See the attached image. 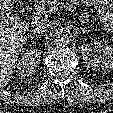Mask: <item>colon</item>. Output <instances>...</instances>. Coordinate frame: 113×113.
Segmentation results:
<instances>
[{"label":"colon","instance_id":"colon-1","mask_svg":"<svg viewBox=\"0 0 113 113\" xmlns=\"http://www.w3.org/2000/svg\"><path fill=\"white\" fill-rule=\"evenodd\" d=\"M109 13L113 16V8L109 10Z\"/></svg>","mask_w":113,"mask_h":113}]
</instances>
